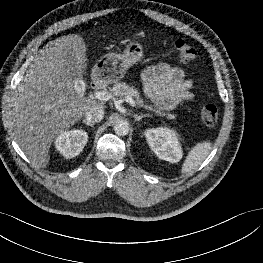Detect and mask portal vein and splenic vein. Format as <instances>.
Here are the masks:
<instances>
[{
    "mask_svg": "<svg viewBox=\"0 0 263 263\" xmlns=\"http://www.w3.org/2000/svg\"><path fill=\"white\" fill-rule=\"evenodd\" d=\"M94 97L100 101H108L112 98V94L108 91H98L94 93ZM125 101L128 102L131 106L135 107V101L129 95L125 97Z\"/></svg>",
    "mask_w": 263,
    "mask_h": 263,
    "instance_id": "portal-vein-and-splenic-vein-1",
    "label": "portal vein and splenic vein"
}]
</instances>
